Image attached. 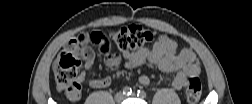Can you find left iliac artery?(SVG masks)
Instances as JSON below:
<instances>
[{
	"label": "left iliac artery",
	"instance_id": "left-iliac-artery-1",
	"mask_svg": "<svg viewBox=\"0 0 252 104\" xmlns=\"http://www.w3.org/2000/svg\"><path fill=\"white\" fill-rule=\"evenodd\" d=\"M137 96L140 98H146V92L143 90H137Z\"/></svg>",
	"mask_w": 252,
	"mask_h": 104
}]
</instances>
